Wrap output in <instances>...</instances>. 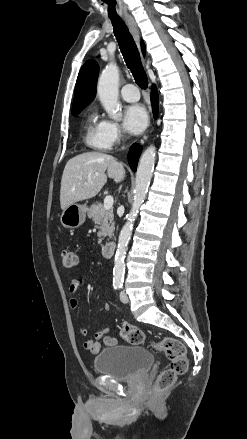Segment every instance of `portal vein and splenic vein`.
<instances>
[{"instance_id": "obj_1", "label": "portal vein and splenic vein", "mask_w": 247, "mask_h": 439, "mask_svg": "<svg viewBox=\"0 0 247 439\" xmlns=\"http://www.w3.org/2000/svg\"><path fill=\"white\" fill-rule=\"evenodd\" d=\"M113 202H114V200H113V197L111 195L106 196L104 199V209L109 210L110 208H112Z\"/></svg>"}]
</instances>
